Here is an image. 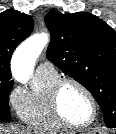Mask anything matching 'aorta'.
Listing matches in <instances>:
<instances>
[{"mask_svg": "<svg viewBox=\"0 0 116 134\" xmlns=\"http://www.w3.org/2000/svg\"><path fill=\"white\" fill-rule=\"evenodd\" d=\"M48 41V34L41 33L29 37L18 46L12 58V74L17 81L26 83L29 80L36 59Z\"/></svg>", "mask_w": 116, "mask_h": 134, "instance_id": "762f6f07", "label": "aorta"}]
</instances>
